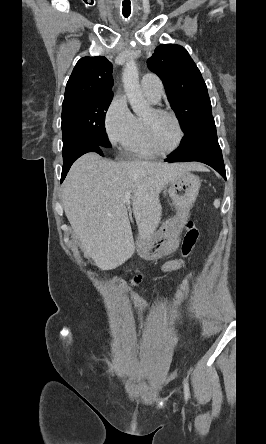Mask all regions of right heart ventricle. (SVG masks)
I'll use <instances>...</instances> for the list:
<instances>
[{
	"instance_id": "1",
	"label": "right heart ventricle",
	"mask_w": 266,
	"mask_h": 444,
	"mask_svg": "<svg viewBox=\"0 0 266 444\" xmlns=\"http://www.w3.org/2000/svg\"><path fill=\"white\" fill-rule=\"evenodd\" d=\"M122 146L123 154L130 158L152 159L158 156L157 153L148 147L145 141L142 129V117L140 116H133L129 134Z\"/></svg>"
}]
</instances>
